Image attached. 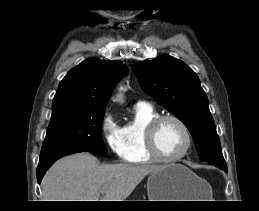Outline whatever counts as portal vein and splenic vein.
Segmentation results:
<instances>
[{"label": "portal vein and splenic vein", "mask_w": 259, "mask_h": 211, "mask_svg": "<svg viewBox=\"0 0 259 211\" xmlns=\"http://www.w3.org/2000/svg\"><path fill=\"white\" fill-rule=\"evenodd\" d=\"M101 193H105V190H102Z\"/></svg>", "instance_id": "obj_1"}]
</instances>
